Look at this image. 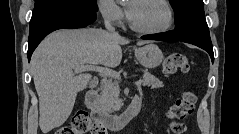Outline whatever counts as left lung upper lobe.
Masks as SVG:
<instances>
[{
	"instance_id": "obj_1",
	"label": "left lung upper lobe",
	"mask_w": 239,
	"mask_h": 134,
	"mask_svg": "<svg viewBox=\"0 0 239 134\" xmlns=\"http://www.w3.org/2000/svg\"><path fill=\"white\" fill-rule=\"evenodd\" d=\"M175 13L176 29L189 24H207L203 0H170Z\"/></svg>"
}]
</instances>
